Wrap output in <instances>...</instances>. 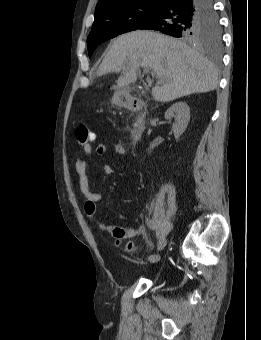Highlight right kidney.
Instances as JSON below:
<instances>
[{"label":"right kidney","instance_id":"1","mask_svg":"<svg viewBox=\"0 0 261 340\" xmlns=\"http://www.w3.org/2000/svg\"><path fill=\"white\" fill-rule=\"evenodd\" d=\"M165 118L167 120L175 119L172 125V131L176 139H178L186 130L190 120V108L185 102H177L173 104L166 112Z\"/></svg>","mask_w":261,"mask_h":340}]
</instances>
